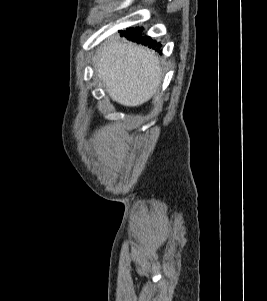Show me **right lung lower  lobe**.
Returning a JSON list of instances; mask_svg holds the SVG:
<instances>
[{"label": "right lung lower lobe", "instance_id": "right-lung-lower-lobe-1", "mask_svg": "<svg viewBox=\"0 0 267 301\" xmlns=\"http://www.w3.org/2000/svg\"><path fill=\"white\" fill-rule=\"evenodd\" d=\"M127 32H122V35L125 33L128 38L136 41L137 43H143L144 45H149L150 48L159 50L161 44L153 41L150 37H142V29L139 28H131Z\"/></svg>", "mask_w": 267, "mask_h": 301}]
</instances>
